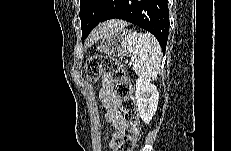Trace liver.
Listing matches in <instances>:
<instances>
[{"instance_id": "liver-1", "label": "liver", "mask_w": 231, "mask_h": 151, "mask_svg": "<svg viewBox=\"0 0 231 151\" xmlns=\"http://www.w3.org/2000/svg\"><path fill=\"white\" fill-rule=\"evenodd\" d=\"M126 26V22L121 20H110L95 28L87 40V45L93 44L103 38L105 34L112 30H121Z\"/></svg>"}]
</instances>
